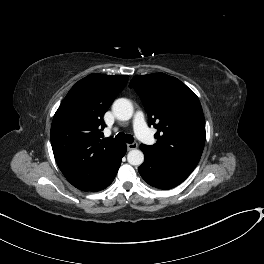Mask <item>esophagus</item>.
<instances>
[{
  "label": "esophagus",
  "mask_w": 264,
  "mask_h": 264,
  "mask_svg": "<svg viewBox=\"0 0 264 264\" xmlns=\"http://www.w3.org/2000/svg\"><path fill=\"white\" fill-rule=\"evenodd\" d=\"M128 150L136 149L138 148V144L136 142L127 144Z\"/></svg>",
  "instance_id": "obj_1"
}]
</instances>
